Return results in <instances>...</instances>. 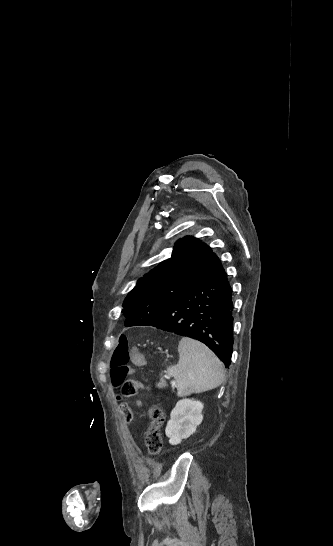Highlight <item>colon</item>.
Listing matches in <instances>:
<instances>
[{
    "mask_svg": "<svg viewBox=\"0 0 333 546\" xmlns=\"http://www.w3.org/2000/svg\"><path fill=\"white\" fill-rule=\"evenodd\" d=\"M130 345L125 336L119 338L118 344L114 349L111 358V380L114 386H121L122 397L125 400H133L138 394V391L144 388L139 381L127 379L129 373L134 370L130 368ZM139 405V401H135ZM150 425L145 432V441L150 455L158 457L161 455L164 440L161 433V428L165 420V415L158 407H153L149 410Z\"/></svg>",
    "mask_w": 333,
    "mask_h": 546,
    "instance_id": "1",
    "label": "colon"
}]
</instances>
